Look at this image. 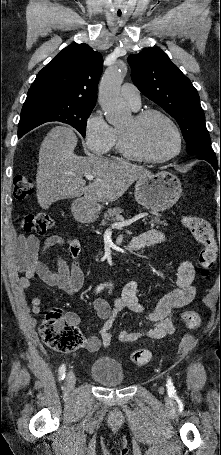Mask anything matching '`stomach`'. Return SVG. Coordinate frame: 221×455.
Here are the masks:
<instances>
[{"label": "stomach", "instance_id": "stomach-1", "mask_svg": "<svg viewBox=\"0 0 221 455\" xmlns=\"http://www.w3.org/2000/svg\"><path fill=\"white\" fill-rule=\"evenodd\" d=\"M181 193L180 180L168 171L140 177L134 191L136 201L146 209L154 211L171 208L179 200ZM73 209L82 221L92 222L97 218L94 204L87 200H77Z\"/></svg>", "mask_w": 221, "mask_h": 455}]
</instances>
